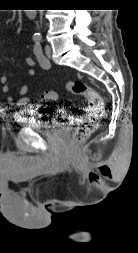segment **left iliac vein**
Listing matches in <instances>:
<instances>
[{"mask_svg":"<svg viewBox=\"0 0 138 253\" xmlns=\"http://www.w3.org/2000/svg\"><path fill=\"white\" fill-rule=\"evenodd\" d=\"M45 54H46V56L48 58H50V56H51V48L48 45L45 47ZM48 67H50V64H48Z\"/></svg>","mask_w":138,"mask_h":253,"instance_id":"obj_1","label":"left iliac vein"}]
</instances>
